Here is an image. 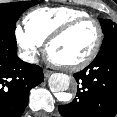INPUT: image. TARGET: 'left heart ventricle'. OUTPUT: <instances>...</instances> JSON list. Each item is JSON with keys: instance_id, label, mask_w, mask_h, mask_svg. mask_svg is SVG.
Instances as JSON below:
<instances>
[{"instance_id": "b2bd125f", "label": "left heart ventricle", "mask_w": 117, "mask_h": 117, "mask_svg": "<svg viewBox=\"0 0 117 117\" xmlns=\"http://www.w3.org/2000/svg\"><path fill=\"white\" fill-rule=\"evenodd\" d=\"M96 39L95 24L89 21L81 23L51 46L50 57L61 64L76 63L89 55Z\"/></svg>"}]
</instances>
